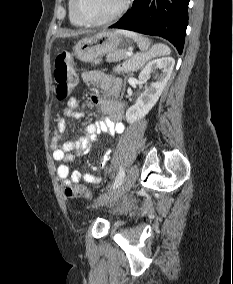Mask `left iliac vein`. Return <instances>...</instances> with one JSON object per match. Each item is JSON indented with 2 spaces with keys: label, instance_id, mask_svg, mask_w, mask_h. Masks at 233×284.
Here are the masks:
<instances>
[{
  "label": "left iliac vein",
  "instance_id": "obj_1",
  "mask_svg": "<svg viewBox=\"0 0 233 284\" xmlns=\"http://www.w3.org/2000/svg\"><path fill=\"white\" fill-rule=\"evenodd\" d=\"M138 166L137 165H133L125 179L123 180L122 184L117 187V189H115L114 191H112L109 194L103 195L100 198H98V200L96 201L94 207H100V206H104L107 205L109 203L115 202L117 201L119 198H121L124 194H126L134 185L137 177H138Z\"/></svg>",
  "mask_w": 233,
  "mask_h": 284
}]
</instances>
